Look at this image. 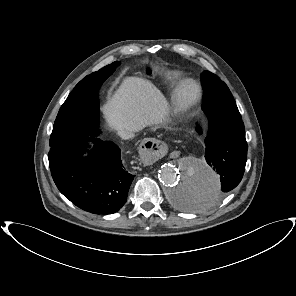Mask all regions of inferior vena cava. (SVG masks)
Returning <instances> with one entry per match:
<instances>
[{"mask_svg":"<svg viewBox=\"0 0 296 296\" xmlns=\"http://www.w3.org/2000/svg\"><path fill=\"white\" fill-rule=\"evenodd\" d=\"M139 129L138 128H135V127H126V128H123V129H119L118 130V134L119 136L122 138V139H130V138H133L134 137V133L135 132H138Z\"/></svg>","mask_w":296,"mask_h":296,"instance_id":"602c4592","label":"inferior vena cava"}]
</instances>
